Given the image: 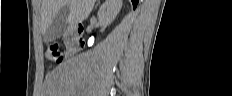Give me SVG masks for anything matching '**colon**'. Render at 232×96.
Segmentation results:
<instances>
[{"instance_id":"1","label":"colon","mask_w":232,"mask_h":96,"mask_svg":"<svg viewBox=\"0 0 232 96\" xmlns=\"http://www.w3.org/2000/svg\"><path fill=\"white\" fill-rule=\"evenodd\" d=\"M47 55L49 59L55 63H60L64 59L63 52L61 51L58 44H51L48 47Z\"/></svg>"}]
</instances>
